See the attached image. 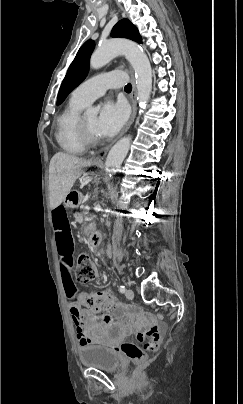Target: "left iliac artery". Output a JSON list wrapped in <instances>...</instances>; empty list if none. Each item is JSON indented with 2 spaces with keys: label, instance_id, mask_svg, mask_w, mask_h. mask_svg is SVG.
Returning a JSON list of instances; mask_svg holds the SVG:
<instances>
[{
  "label": "left iliac artery",
  "instance_id": "1",
  "mask_svg": "<svg viewBox=\"0 0 243 404\" xmlns=\"http://www.w3.org/2000/svg\"><path fill=\"white\" fill-rule=\"evenodd\" d=\"M125 290H126L125 286H123V285L119 286V291H120L121 293H124Z\"/></svg>",
  "mask_w": 243,
  "mask_h": 404
}]
</instances>
